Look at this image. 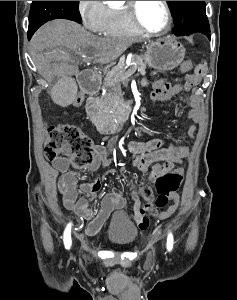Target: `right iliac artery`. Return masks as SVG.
<instances>
[{
    "label": "right iliac artery",
    "mask_w": 237,
    "mask_h": 300,
    "mask_svg": "<svg viewBox=\"0 0 237 300\" xmlns=\"http://www.w3.org/2000/svg\"><path fill=\"white\" fill-rule=\"evenodd\" d=\"M71 223L67 225V228L64 231V245L66 249H70L71 246Z\"/></svg>",
    "instance_id": "1"
}]
</instances>
